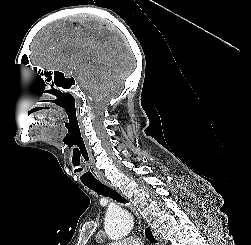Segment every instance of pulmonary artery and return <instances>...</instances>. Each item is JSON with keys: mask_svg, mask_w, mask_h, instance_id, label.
Here are the masks:
<instances>
[{"mask_svg": "<svg viewBox=\"0 0 251 245\" xmlns=\"http://www.w3.org/2000/svg\"><path fill=\"white\" fill-rule=\"evenodd\" d=\"M109 245H142V241L138 237H130L122 242H114Z\"/></svg>", "mask_w": 251, "mask_h": 245, "instance_id": "1", "label": "pulmonary artery"}]
</instances>
